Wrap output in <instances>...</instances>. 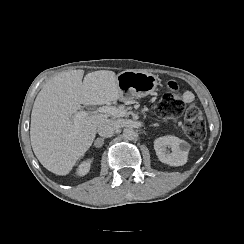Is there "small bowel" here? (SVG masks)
<instances>
[{
	"instance_id": "small-bowel-1",
	"label": "small bowel",
	"mask_w": 244,
	"mask_h": 244,
	"mask_svg": "<svg viewBox=\"0 0 244 244\" xmlns=\"http://www.w3.org/2000/svg\"><path fill=\"white\" fill-rule=\"evenodd\" d=\"M182 98L185 103H191L195 99V95L191 91H185L182 94Z\"/></svg>"
}]
</instances>
